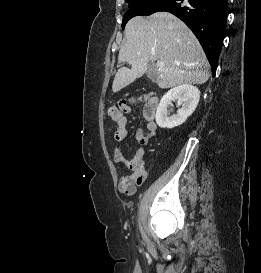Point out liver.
I'll return each mask as SVG.
<instances>
[{"mask_svg": "<svg viewBox=\"0 0 261 273\" xmlns=\"http://www.w3.org/2000/svg\"><path fill=\"white\" fill-rule=\"evenodd\" d=\"M125 37L118 62H126L131 69H118L112 84L114 93L140 78L154 61L164 62L163 67L156 68V83L160 88L200 85L208 80L209 63L199 41L171 13L157 12L147 18H132L126 25Z\"/></svg>", "mask_w": 261, "mask_h": 273, "instance_id": "1", "label": "liver"}]
</instances>
